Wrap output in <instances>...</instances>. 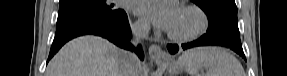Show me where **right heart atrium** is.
Returning a JSON list of instances; mask_svg holds the SVG:
<instances>
[{"label":"right heart atrium","instance_id":"obj_1","mask_svg":"<svg viewBox=\"0 0 287 76\" xmlns=\"http://www.w3.org/2000/svg\"><path fill=\"white\" fill-rule=\"evenodd\" d=\"M133 28L138 33H144L148 29V25L146 22L138 20L133 23Z\"/></svg>","mask_w":287,"mask_h":76}]
</instances>
